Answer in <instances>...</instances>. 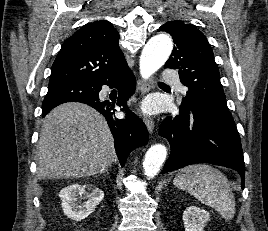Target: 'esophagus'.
<instances>
[{"label":"esophagus","mask_w":268,"mask_h":231,"mask_svg":"<svg viewBox=\"0 0 268 231\" xmlns=\"http://www.w3.org/2000/svg\"><path fill=\"white\" fill-rule=\"evenodd\" d=\"M137 87L141 95L146 94L150 90V85L148 83L143 82L140 79L137 82ZM144 121L148 132L152 133L155 127L154 120L151 117H145Z\"/></svg>","instance_id":"obj_1"}]
</instances>
